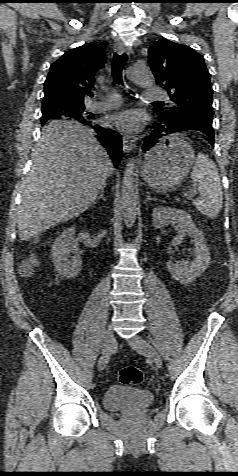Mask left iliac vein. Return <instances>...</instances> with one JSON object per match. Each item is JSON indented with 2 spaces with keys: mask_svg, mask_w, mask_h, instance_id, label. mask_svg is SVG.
I'll use <instances>...</instances> for the list:
<instances>
[{
  "mask_svg": "<svg viewBox=\"0 0 238 476\" xmlns=\"http://www.w3.org/2000/svg\"><path fill=\"white\" fill-rule=\"evenodd\" d=\"M128 343L135 351L146 356L158 368L162 367V360L158 352L141 336L134 335L131 339L128 340Z\"/></svg>",
  "mask_w": 238,
  "mask_h": 476,
  "instance_id": "left-iliac-vein-1",
  "label": "left iliac vein"
}]
</instances>
